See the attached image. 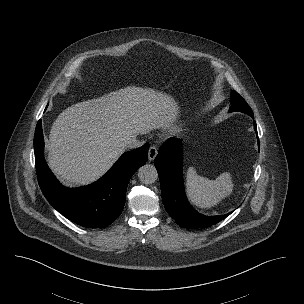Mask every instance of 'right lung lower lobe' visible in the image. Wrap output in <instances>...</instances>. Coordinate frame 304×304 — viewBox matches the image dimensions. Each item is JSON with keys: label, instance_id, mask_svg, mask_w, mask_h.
<instances>
[{"label": "right lung lower lobe", "instance_id": "98d812e1", "mask_svg": "<svg viewBox=\"0 0 304 304\" xmlns=\"http://www.w3.org/2000/svg\"><path fill=\"white\" fill-rule=\"evenodd\" d=\"M44 139L39 120L34 135L37 178L49 203L69 220L83 227L105 228L122 212L128 182L146 163L149 144L124 153L98 181L69 189L55 178L44 159Z\"/></svg>", "mask_w": 304, "mask_h": 304}]
</instances>
